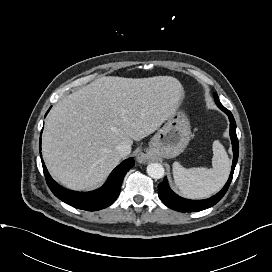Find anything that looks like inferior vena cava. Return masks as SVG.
I'll return each mask as SVG.
<instances>
[{"label":"inferior vena cava","mask_w":272,"mask_h":272,"mask_svg":"<svg viewBox=\"0 0 272 272\" xmlns=\"http://www.w3.org/2000/svg\"><path fill=\"white\" fill-rule=\"evenodd\" d=\"M116 150L122 158L126 157L131 152V144L124 141L117 145Z\"/></svg>","instance_id":"inferior-vena-cava-1"}]
</instances>
